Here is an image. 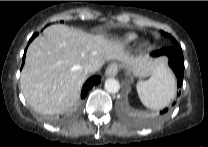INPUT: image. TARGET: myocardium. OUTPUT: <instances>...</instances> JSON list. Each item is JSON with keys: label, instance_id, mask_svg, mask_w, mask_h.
<instances>
[{"label": "myocardium", "instance_id": "obj_1", "mask_svg": "<svg viewBox=\"0 0 208 147\" xmlns=\"http://www.w3.org/2000/svg\"><path fill=\"white\" fill-rule=\"evenodd\" d=\"M145 46H147V43H142V47H145Z\"/></svg>", "mask_w": 208, "mask_h": 147}]
</instances>
